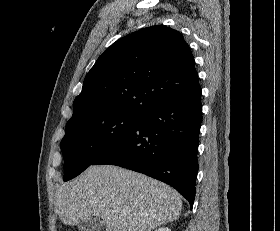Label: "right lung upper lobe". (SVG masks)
I'll return each instance as SVG.
<instances>
[{"instance_id":"obj_1","label":"right lung upper lobe","mask_w":280,"mask_h":231,"mask_svg":"<svg viewBox=\"0 0 280 231\" xmlns=\"http://www.w3.org/2000/svg\"><path fill=\"white\" fill-rule=\"evenodd\" d=\"M200 92L194 57L182 34L154 25L119 39L100 55L74 100L71 119L143 116L162 103Z\"/></svg>"}]
</instances>
